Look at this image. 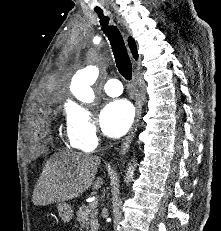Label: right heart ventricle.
<instances>
[{"instance_id":"obj_1","label":"right heart ventricle","mask_w":221,"mask_h":231,"mask_svg":"<svg viewBox=\"0 0 221 231\" xmlns=\"http://www.w3.org/2000/svg\"><path fill=\"white\" fill-rule=\"evenodd\" d=\"M72 146L76 147L72 142H71Z\"/></svg>"}]
</instances>
